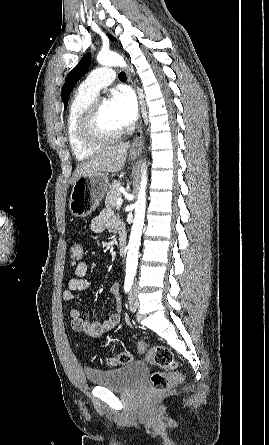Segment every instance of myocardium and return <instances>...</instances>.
Returning a JSON list of instances; mask_svg holds the SVG:
<instances>
[{
    "instance_id": "obj_1",
    "label": "myocardium",
    "mask_w": 269,
    "mask_h": 445,
    "mask_svg": "<svg viewBox=\"0 0 269 445\" xmlns=\"http://www.w3.org/2000/svg\"><path fill=\"white\" fill-rule=\"evenodd\" d=\"M101 104L100 100H94L78 119L76 132L85 145L101 146L118 140L125 133L124 129L111 132L101 127L99 121Z\"/></svg>"
}]
</instances>
